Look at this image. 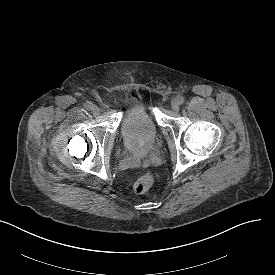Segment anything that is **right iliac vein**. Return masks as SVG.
I'll list each match as a JSON object with an SVG mask.
<instances>
[{
  "instance_id": "1",
  "label": "right iliac vein",
  "mask_w": 275,
  "mask_h": 275,
  "mask_svg": "<svg viewBox=\"0 0 275 275\" xmlns=\"http://www.w3.org/2000/svg\"><path fill=\"white\" fill-rule=\"evenodd\" d=\"M92 113L94 115H98L99 114V108L96 105L92 106Z\"/></svg>"
}]
</instances>
